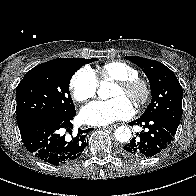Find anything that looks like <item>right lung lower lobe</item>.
<instances>
[{"mask_svg": "<svg viewBox=\"0 0 196 196\" xmlns=\"http://www.w3.org/2000/svg\"><path fill=\"white\" fill-rule=\"evenodd\" d=\"M75 115L76 111L66 116L40 114L18 124L26 149L41 161L52 165L65 164L79 157L88 144L87 133L92 129H79L71 140L61 134L63 129L72 132L71 121Z\"/></svg>", "mask_w": 196, "mask_h": 196, "instance_id": "98d812e1", "label": "right lung lower lobe"}]
</instances>
